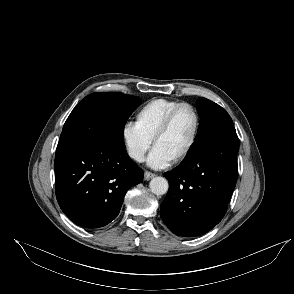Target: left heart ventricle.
<instances>
[{"mask_svg": "<svg viewBox=\"0 0 294 294\" xmlns=\"http://www.w3.org/2000/svg\"><path fill=\"white\" fill-rule=\"evenodd\" d=\"M194 126L195 118L190 109H182L175 116L168 131L158 139L155 146L174 160L190 142Z\"/></svg>", "mask_w": 294, "mask_h": 294, "instance_id": "1", "label": "left heart ventricle"}]
</instances>
